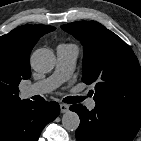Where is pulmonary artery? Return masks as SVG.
I'll list each match as a JSON object with an SVG mask.
<instances>
[{
    "label": "pulmonary artery",
    "mask_w": 141,
    "mask_h": 141,
    "mask_svg": "<svg viewBox=\"0 0 141 141\" xmlns=\"http://www.w3.org/2000/svg\"><path fill=\"white\" fill-rule=\"evenodd\" d=\"M78 54L79 50L75 45H59L56 49L57 62L54 72L49 77L25 87L23 95L25 97L42 95L58 88L70 78L75 68ZM86 105L89 109H93L96 102L93 99H89Z\"/></svg>",
    "instance_id": "pulmonary-artery-1"
}]
</instances>
